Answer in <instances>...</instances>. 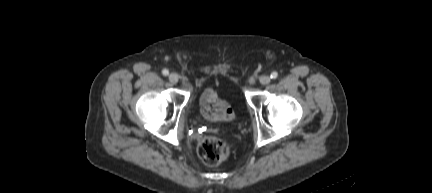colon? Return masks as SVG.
Instances as JSON below:
<instances>
[{
	"mask_svg": "<svg viewBox=\"0 0 432 193\" xmlns=\"http://www.w3.org/2000/svg\"><path fill=\"white\" fill-rule=\"evenodd\" d=\"M197 153L205 164L215 166L222 163L229 156L230 145L224 140L207 137L200 142Z\"/></svg>",
	"mask_w": 432,
	"mask_h": 193,
	"instance_id": "5ec220e1",
	"label": "colon"
}]
</instances>
